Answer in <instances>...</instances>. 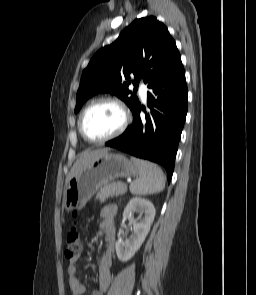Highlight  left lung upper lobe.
I'll return each mask as SVG.
<instances>
[{"label": "left lung upper lobe", "mask_w": 256, "mask_h": 295, "mask_svg": "<svg viewBox=\"0 0 256 295\" xmlns=\"http://www.w3.org/2000/svg\"><path fill=\"white\" fill-rule=\"evenodd\" d=\"M180 60L166 26L155 17L135 19L112 44L100 49L83 71L75 113L99 92L122 99L133 112L139 105L128 86L134 77L150 87Z\"/></svg>", "instance_id": "left-lung-upper-lobe-1"}]
</instances>
